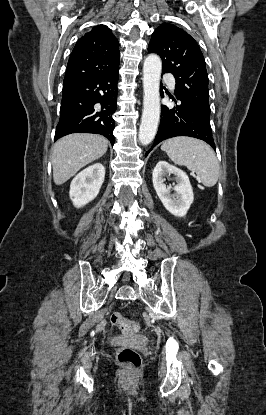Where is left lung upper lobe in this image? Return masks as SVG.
I'll return each mask as SVG.
<instances>
[{"label":"left lung upper lobe","mask_w":266,"mask_h":415,"mask_svg":"<svg viewBox=\"0 0 266 415\" xmlns=\"http://www.w3.org/2000/svg\"><path fill=\"white\" fill-rule=\"evenodd\" d=\"M148 52L161 57L163 73L174 75L176 98L209 122L208 75L197 42L183 29L165 23L152 34Z\"/></svg>","instance_id":"obj_1"}]
</instances>
